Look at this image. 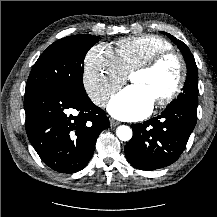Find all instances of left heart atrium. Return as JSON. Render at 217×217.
<instances>
[{
    "label": "left heart atrium",
    "mask_w": 217,
    "mask_h": 217,
    "mask_svg": "<svg viewBox=\"0 0 217 217\" xmlns=\"http://www.w3.org/2000/svg\"><path fill=\"white\" fill-rule=\"evenodd\" d=\"M153 104V99L144 89L131 85L111 99L108 110L119 119L139 120L151 112Z\"/></svg>",
    "instance_id": "left-heart-atrium-1"
}]
</instances>
